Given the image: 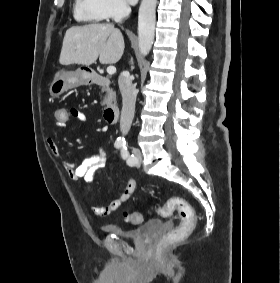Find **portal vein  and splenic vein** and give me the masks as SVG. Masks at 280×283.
Listing matches in <instances>:
<instances>
[{"label":"portal vein and splenic vein","instance_id":"portal-vein-and-splenic-vein-1","mask_svg":"<svg viewBox=\"0 0 280 283\" xmlns=\"http://www.w3.org/2000/svg\"><path fill=\"white\" fill-rule=\"evenodd\" d=\"M107 73H108L109 75L115 74V73H116V68H115L114 66H108V67H107Z\"/></svg>","mask_w":280,"mask_h":283}]
</instances>
